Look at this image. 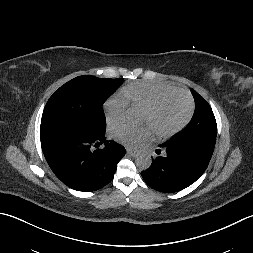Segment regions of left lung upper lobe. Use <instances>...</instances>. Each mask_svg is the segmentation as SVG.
<instances>
[{
    "instance_id": "1",
    "label": "left lung upper lobe",
    "mask_w": 253,
    "mask_h": 253,
    "mask_svg": "<svg viewBox=\"0 0 253 253\" xmlns=\"http://www.w3.org/2000/svg\"><path fill=\"white\" fill-rule=\"evenodd\" d=\"M195 112L188 126L165 144L188 145L212 156L217 134V125L210 105L195 90Z\"/></svg>"
}]
</instances>
